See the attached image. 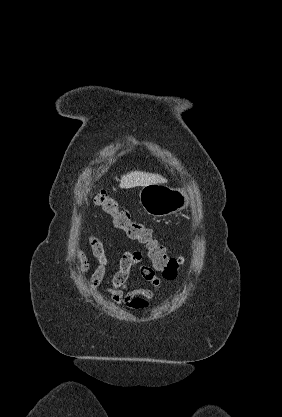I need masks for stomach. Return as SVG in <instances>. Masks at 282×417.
<instances>
[{
  "instance_id": "obj_1",
  "label": "stomach",
  "mask_w": 282,
  "mask_h": 417,
  "mask_svg": "<svg viewBox=\"0 0 282 417\" xmlns=\"http://www.w3.org/2000/svg\"><path fill=\"white\" fill-rule=\"evenodd\" d=\"M139 202L144 211L153 217L174 215L188 206L187 196L180 188H170L165 184H146L139 192Z\"/></svg>"
}]
</instances>
